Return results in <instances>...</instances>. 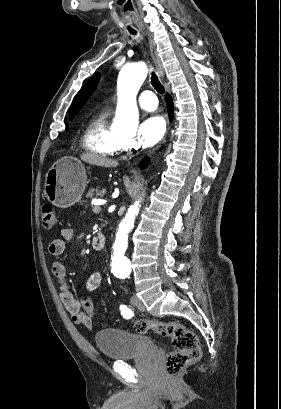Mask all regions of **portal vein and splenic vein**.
I'll list each match as a JSON object with an SVG mask.
<instances>
[{
	"mask_svg": "<svg viewBox=\"0 0 281 409\" xmlns=\"http://www.w3.org/2000/svg\"><path fill=\"white\" fill-rule=\"evenodd\" d=\"M101 209H100V207L99 206H94L93 208H92V211L94 212L93 214H94V216L95 217H100L101 216V211H100Z\"/></svg>",
	"mask_w": 281,
	"mask_h": 409,
	"instance_id": "18ae733b",
	"label": "portal vein and splenic vein"
}]
</instances>
